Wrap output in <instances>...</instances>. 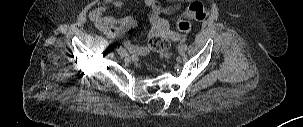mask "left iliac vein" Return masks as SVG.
I'll use <instances>...</instances> for the list:
<instances>
[{"mask_svg": "<svg viewBox=\"0 0 303 127\" xmlns=\"http://www.w3.org/2000/svg\"><path fill=\"white\" fill-rule=\"evenodd\" d=\"M179 53H180L182 56H185V50H183L181 46L179 47Z\"/></svg>", "mask_w": 303, "mask_h": 127, "instance_id": "1", "label": "left iliac vein"}]
</instances>
